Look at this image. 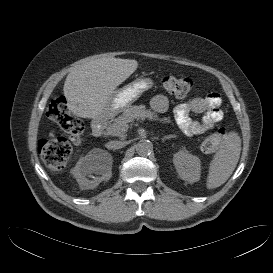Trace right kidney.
<instances>
[{
  "instance_id": "right-kidney-1",
  "label": "right kidney",
  "mask_w": 273,
  "mask_h": 273,
  "mask_svg": "<svg viewBox=\"0 0 273 273\" xmlns=\"http://www.w3.org/2000/svg\"><path fill=\"white\" fill-rule=\"evenodd\" d=\"M92 153L81 158L72 170L78 184L85 188H95L100 181L108 180L111 177L112 159L110 155L104 154L100 158H94ZM93 173L101 175L93 180L87 177Z\"/></svg>"
}]
</instances>
